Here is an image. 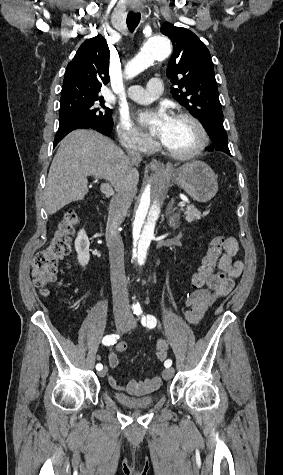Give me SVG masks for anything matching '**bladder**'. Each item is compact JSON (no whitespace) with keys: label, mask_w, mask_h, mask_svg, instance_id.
I'll return each instance as SVG.
<instances>
[{"label":"bladder","mask_w":283,"mask_h":475,"mask_svg":"<svg viewBox=\"0 0 283 475\" xmlns=\"http://www.w3.org/2000/svg\"><path fill=\"white\" fill-rule=\"evenodd\" d=\"M113 400L123 406L125 409H148L156 404L157 396H145L135 398L121 391H115L112 394Z\"/></svg>","instance_id":"31cf9c89"}]
</instances>
